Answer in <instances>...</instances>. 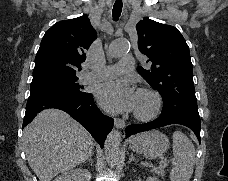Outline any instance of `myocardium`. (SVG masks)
I'll use <instances>...</instances> for the list:
<instances>
[{
	"mask_svg": "<svg viewBox=\"0 0 228 181\" xmlns=\"http://www.w3.org/2000/svg\"><path fill=\"white\" fill-rule=\"evenodd\" d=\"M139 94H147L151 97L152 99V106L150 108L149 111L147 112H141L139 110L135 111V116L136 118L140 119V120H144V121H148L153 119L159 112L160 108H161V96L160 94L151 88H140L138 90Z\"/></svg>",
	"mask_w": 228,
	"mask_h": 181,
	"instance_id": "1",
	"label": "myocardium"
}]
</instances>
